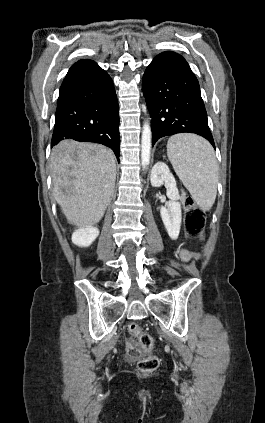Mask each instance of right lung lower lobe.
Wrapping results in <instances>:
<instances>
[{
    "instance_id": "obj_1",
    "label": "right lung lower lobe",
    "mask_w": 265,
    "mask_h": 423,
    "mask_svg": "<svg viewBox=\"0 0 265 423\" xmlns=\"http://www.w3.org/2000/svg\"><path fill=\"white\" fill-rule=\"evenodd\" d=\"M118 113L110 76L92 60L76 62L60 87L51 147L65 139L100 143L119 161Z\"/></svg>"
}]
</instances>
